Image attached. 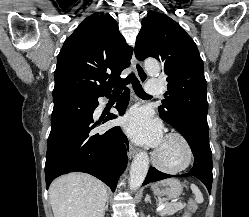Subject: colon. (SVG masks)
<instances>
[{
  "mask_svg": "<svg viewBox=\"0 0 249 217\" xmlns=\"http://www.w3.org/2000/svg\"><path fill=\"white\" fill-rule=\"evenodd\" d=\"M195 210H196V204L193 200H190L183 217H191L192 214L195 212Z\"/></svg>",
  "mask_w": 249,
  "mask_h": 217,
  "instance_id": "5ec220e1",
  "label": "colon"
}]
</instances>
